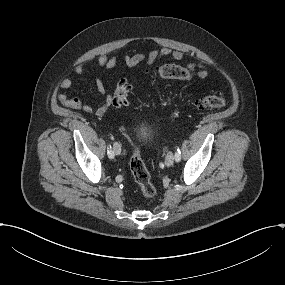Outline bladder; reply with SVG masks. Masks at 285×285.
<instances>
[{"label": "bladder", "instance_id": "1", "mask_svg": "<svg viewBox=\"0 0 285 285\" xmlns=\"http://www.w3.org/2000/svg\"><path fill=\"white\" fill-rule=\"evenodd\" d=\"M133 136L139 146L148 147L155 140V126L149 122H140L137 124Z\"/></svg>", "mask_w": 285, "mask_h": 285}]
</instances>
